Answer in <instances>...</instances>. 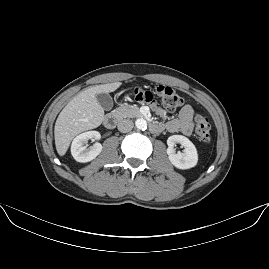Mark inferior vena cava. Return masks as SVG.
Here are the masks:
<instances>
[{"mask_svg":"<svg viewBox=\"0 0 269 269\" xmlns=\"http://www.w3.org/2000/svg\"><path fill=\"white\" fill-rule=\"evenodd\" d=\"M133 126H134L133 121L129 119H123L117 125L118 130L122 133L131 131Z\"/></svg>","mask_w":269,"mask_h":269,"instance_id":"obj_1","label":"inferior vena cava"}]
</instances>
